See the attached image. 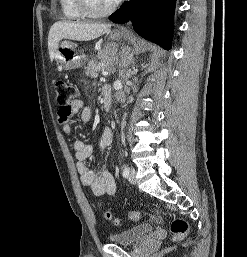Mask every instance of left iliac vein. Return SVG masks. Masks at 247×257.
Returning <instances> with one entry per match:
<instances>
[{
  "mask_svg": "<svg viewBox=\"0 0 247 257\" xmlns=\"http://www.w3.org/2000/svg\"><path fill=\"white\" fill-rule=\"evenodd\" d=\"M128 181L131 184H136V170L133 167H131L130 170H129Z\"/></svg>",
  "mask_w": 247,
  "mask_h": 257,
  "instance_id": "1",
  "label": "left iliac vein"
}]
</instances>
